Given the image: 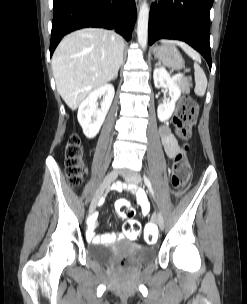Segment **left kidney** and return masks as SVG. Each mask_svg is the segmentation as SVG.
Segmentation results:
<instances>
[{
    "mask_svg": "<svg viewBox=\"0 0 247 304\" xmlns=\"http://www.w3.org/2000/svg\"><path fill=\"white\" fill-rule=\"evenodd\" d=\"M153 79L156 88L164 87L169 89L171 100L167 103L160 104L157 109L158 119L163 122L172 116L175 110V103L181 95V90L165 68L154 69Z\"/></svg>",
    "mask_w": 247,
    "mask_h": 304,
    "instance_id": "obj_1",
    "label": "left kidney"
}]
</instances>
